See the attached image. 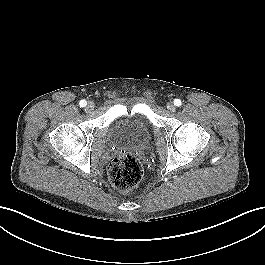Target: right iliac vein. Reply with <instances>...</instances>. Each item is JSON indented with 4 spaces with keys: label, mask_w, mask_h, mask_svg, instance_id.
<instances>
[{
    "label": "right iliac vein",
    "mask_w": 265,
    "mask_h": 265,
    "mask_svg": "<svg viewBox=\"0 0 265 265\" xmlns=\"http://www.w3.org/2000/svg\"><path fill=\"white\" fill-rule=\"evenodd\" d=\"M86 109L91 111L94 109V103L92 101L88 102Z\"/></svg>",
    "instance_id": "right-iliac-vein-1"
}]
</instances>
